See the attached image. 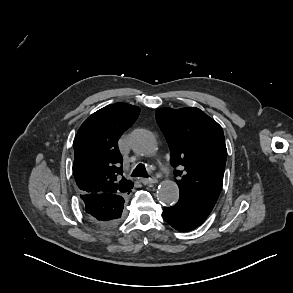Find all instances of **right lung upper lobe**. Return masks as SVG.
Here are the masks:
<instances>
[{
  "mask_svg": "<svg viewBox=\"0 0 293 293\" xmlns=\"http://www.w3.org/2000/svg\"><path fill=\"white\" fill-rule=\"evenodd\" d=\"M140 108L126 103L108 105L93 113L74 140V177L84 194H125L133 183L124 177L117 141L135 122Z\"/></svg>",
  "mask_w": 293,
  "mask_h": 293,
  "instance_id": "1",
  "label": "right lung upper lobe"
}]
</instances>
